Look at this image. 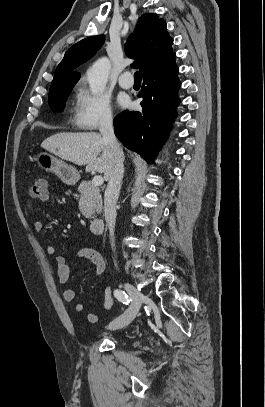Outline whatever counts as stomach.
<instances>
[{"label":"stomach","mask_w":265,"mask_h":407,"mask_svg":"<svg viewBox=\"0 0 265 407\" xmlns=\"http://www.w3.org/2000/svg\"><path fill=\"white\" fill-rule=\"evenodd\" d=\"M35 161L41 169L56 174L62 182L74 185L79 179V172L73 166L68 165L50 153L41 152L35 157Z\"/></svg>","instance_id":"0dacf381"}]
</instances>
